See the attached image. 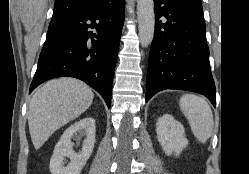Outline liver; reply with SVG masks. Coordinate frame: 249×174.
<instances>
[{
  "label": "liver",
  "instance_id": "obj_1",
  "mask_svg": "<svg viewBox=\"0 0 249 174\" xmlns=\"http://www.w3.org/2000/svg\"><path fill=\"white\" fill-rule=\"evenodd\" d=\"M94 94L74 78L48 81L32 96L28 125L34 148L39 149L59 128L79 117L92 104Z\"/></svg>",
  "mask_w": 249,
  "mask_h": 174
}]
</instances>
